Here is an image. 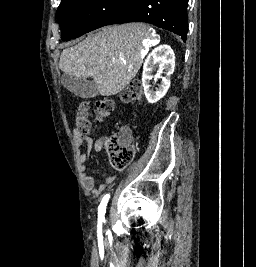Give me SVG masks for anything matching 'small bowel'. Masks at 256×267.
Masks as SVG:
<instances>
[{
  "label": "small bowel",
  "instance_id": "c3829d8e",
  "mask_svg": "<svg viewBox=\"0 0 256 267\" xmlns=\"http://www.w3.org/2000/svg\"><path fill=\"white\" fill-rule=\"evenodd\" d=\"M74 139L76 145L79 148H84V150L79 153L77 158L78 169L83 185L89 193L98 196L103 193L106 188L114 181L115 174L109 175L104 182L96 186L94 179L87 173L86 162L89 161L92 151L100 152L102 150L106 142V137H100L96 140H93L92 138L84 136L78 131H75Z\"/></svg>",
  "mask_w": 256,
  "mask_h": 267
}]
</instances>
